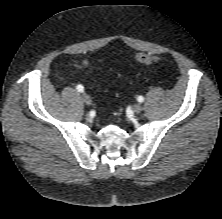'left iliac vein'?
Listing matches in <instances>:
<instances>
[{
    "mask_svg": "<svg viewBox=\"0 0 222 219\" xmlns=\"http://www.w3.org/2000/svg\"><path fill=\"white\" fill-rule=\"evenodd\" d=\"M142 105L137 103L133 106V111L136 113V114H139L141 111H142Z\"/></svg>",
    "mask_w": 222,
    "mask_h": 219,
    "instance_id": "obj_1",
    "label": "left iliac vein"
}]
</instances>
